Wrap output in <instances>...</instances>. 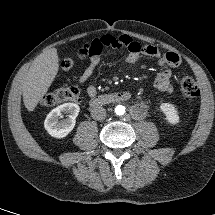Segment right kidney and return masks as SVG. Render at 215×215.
I'll return each mask as SVG.
<instances>
[{
  "mask_svg": "<svg viewBox=\"0 0 215 215\" xmlns=\"http://www.w3.org/2000/svg\"><path fill=\"white\" fill-rule=\"evenodd\" d=\"M80 107L75 103H65L54 108L46 117L44 127L47 132L55 138L66 137L75 127L76 117ZM63 113H67V118H63Z\"/></svg>",
  "mask_w": 215,
  "mask_h": 215,
  "instance_id": "ca27d5eb",
  "label": "right kidney"
}]
</instances>
